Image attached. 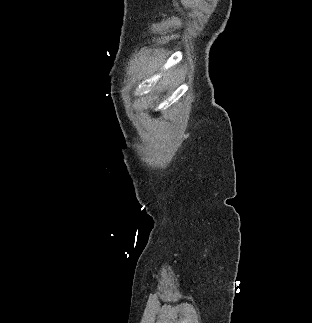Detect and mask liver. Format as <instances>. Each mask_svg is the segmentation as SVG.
Segmentation results:
<instances>
[{"mask_svg": "<svg viewBox=\"0 0 312 323\" xmlns=\"http://www.w3.org/2000/svg\"><path fill=\"white\" fill-rule=\"evenodd\" d=\"M162 76H163L162 84H164V86H166V84H171L170 78H173L171 70H168V72H166V74H162ZM166 76H168V78H166ZM159 88H161V86H159Z\"/></svg>", "mask_w": 312, "mask_h": 323, "instance_id": "liver-1", "label": "liver"}]
</instances>
